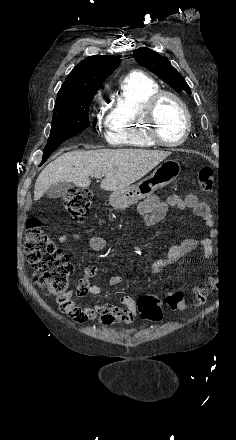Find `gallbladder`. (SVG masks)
Listing matches in <instances>:
<instances>
[{
	"label": "gallbladder",
	"instance_id": "bac80fb5",
	"mask_svg": "<svg viewBox=\"0 0 236 440\" xmlns=\"http://www.w3.org/2000/svg\"><path fill=\"white\" fill-rule=\"evenodd\" d=\"M70 188H72L70 182H58L47 189L46 196L51 199H57L62 197Z\"/></svg>",
	"mask_w": 236,
	"mask_h": 440
}]
</instances>
